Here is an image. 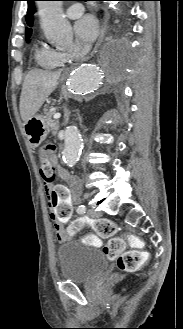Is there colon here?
Masks as SVG:
<instances>
[{
    "label": "colon",
    "mask_w": 183,
    "mask_h": 329,
    "mask_svg": "<svg viewBox=\"0 0 183 329\" xmlns=\"http://www.w3.org/2000/svg\"><path fill=\"white\" fill-rule=\"evenodd\" d=\"M56 148L53 144H46L41 150L42 178L51 187L55 179V167L53 157ZM91 226L98 237L108 239V243L103 247L104 254L110 259H116L117 267L121 271H134L142 262L149 258V253L144 250V243L139 239L129 237H117L116 226L107 219H95L91 221ZM81 227L80 222H74L69 232L76 233ZM88 243L94 242L92 238L86 240ZM127 241H130L134 247L132 251H124Z\"/></svg>",
    "instance_id": "obj_1"
}]
</instances>
